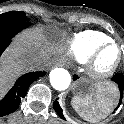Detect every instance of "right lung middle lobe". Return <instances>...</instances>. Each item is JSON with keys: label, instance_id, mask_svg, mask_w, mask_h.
<instances>
[{"label": "right lung middle lobe", "instance_id": "right-lung-middle-lobe-1", "mask_svg": "<svg viewBox=\"0 0 124 124\" xmlns=\"http://www.w3.org/2000/svg\"><path fill=\"white\" fill-rule=\"evenodd\" d=\"M26 14L21 11H10L0 14V22H25L27 21Z\"/></svg>", "mask_w": 124, "mask_h": 124}]
</instances>
